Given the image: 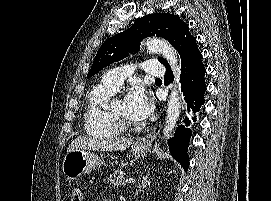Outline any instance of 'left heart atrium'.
<instances>
[{
  "label": "left heart atrium",
  "mask_w": 271,
  "mask_h": 201,
  "mask_svg": "<svg viewBox=\"0 0 271 201\" xmlns=\"http://www.w3.org/2000/svg\"><path fill=\"white\" fill-rule=\"evenodd\" d=\"M124 100L129 114L137 121L147 119L153 112V101L141 86L134 87Z\"/></svg>",
  "instance_id": "left-heart-atrium-1"
}]
</instances>
